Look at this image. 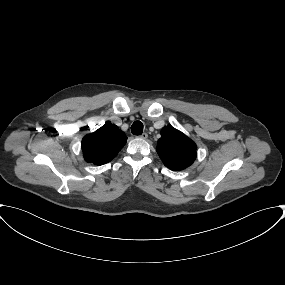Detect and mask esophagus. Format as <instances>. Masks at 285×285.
I'll return each mask as SVG.
<instances>
[{
	"instance_id": "obj_1",
	"label": "esophagus",
	"mask_w": 285,
	"mask_h": 285,
	"mask_svg": "<svg viewBox=\"0 0 285 285\" xmlns=\"http://www.w3.org/2000/svg\"><path fill=\"white\" fill-rule=\"evenodd\" d=\"M139 137L141 139H147L148 138V134L147 133H142Z\"/></svg>"
}]
</instances>
